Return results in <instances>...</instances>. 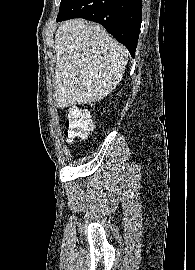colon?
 <instances>
[{
	"instance_id": "colon-1",
	"label": "colon",
	"mask_w": 195,
	"mask_h": 270,
	"mask_svg": "<svg viewBox=\"0 0 195 270\" xmlns=\"http://www.w3.org/2000/svg\"><path fill=\"white\" fill-rule=\"evenodd\" d=\"M93 128L92 119L85 109L71 107L67 111L64 134L68 142L86 138Z\"/></svg>"
}]
</instances>
